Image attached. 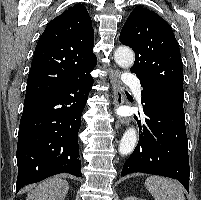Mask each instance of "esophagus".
Wrapping results in <instances>:
<instances>
[{"label": "esophagus", "instance_id": "34e87169", "mask_svg": "<svg viewBox=\"0 0 201 200\" xmlns=\"http://www.w3.org/2000/svg\"><path fill=\"white\" fill-rule=\"evenodd\" d=\"M110 82L113 91V99L115 102V106H120L125 103V96L123 91L120 89L121 80H120V72L118 70H112L110 73ZM118 121L122 125H128L131 121L129 117L117 116Z\"/></svg>", "mask_w": 201, "mask_h": 200}]
</instances>
